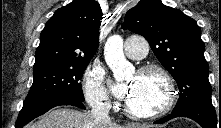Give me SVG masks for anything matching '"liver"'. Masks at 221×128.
<instances>
[{
	"label": "liver",
	"mask_w": 221,
	"mask_h": 128,
	"mask_svg": "<svg viewBox=\"0 0 221 128\" xmlns=\"http://www.w3.org/2000/svg\"><path fill=\"white\" fill-rule=\"evenodd\" d=\"M27 128H154L153 125L131 124L126 127L108 121H95L91 113L69 108H57Z\"/></svg>",
	"instance_id": "obj_1"
}]
</instances>
